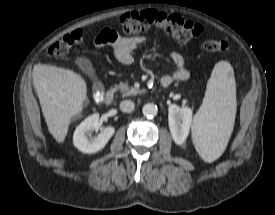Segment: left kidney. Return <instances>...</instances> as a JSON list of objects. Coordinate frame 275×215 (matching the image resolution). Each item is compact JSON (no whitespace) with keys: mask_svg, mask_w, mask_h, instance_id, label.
<instances>
[{"mask_svg":"<svg viewBox=\"0 0 275 215\" xmlns=\"http://www.w3.org/2000/svg\"><path fill=\"white\" fill-rule=\"evenodd\" d=\"M168 121L174 142L178 145L183 144L189 135L192 110L172 104L169 106Z\"/></svg>","mask_w":275,"mask_h":215,"instance_id":"1","label":"left kidney"}]
</instances>
